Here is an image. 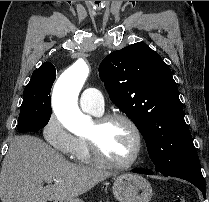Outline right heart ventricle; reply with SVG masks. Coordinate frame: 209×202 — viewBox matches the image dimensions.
Segmentation results:
<instances>
[{
    "label": "right heart ventricle",
    "instance_id": "e07e8e85",
    "mask_svg": "<svg viewBox=\"0 0 209 202\" xmlns=\"http://www.w3.org/2000/svg\"><path fill=\"white\" fill-rule=\"evenodd\" d=\"M70 157L79 163L89 164L92 162V157L85 138H77V143L70 154Z\"/></svg>",
    "mask_w": 209,
    "mask_h": 202
}]
</instances>
